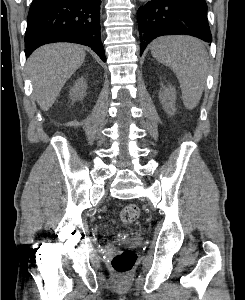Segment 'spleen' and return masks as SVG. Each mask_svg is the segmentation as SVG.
<instances>
[{"mask_svg":"<svg viewBox=\"0 0 245 300\" xmlns=\"http://www.w3.org/2000/svg\"><path fill=\"white\" fill-rule=\"evenodd\" d=\"M150 50L157 61L171 67L177 75L185 107L195 108L207 75L208 54L204 45L192 37L170 36L153 41Z\"/></svg>","mask_w":245,"mask_h":300,"instance_id":"obj_1","label":"spleen"}]
</instances>
